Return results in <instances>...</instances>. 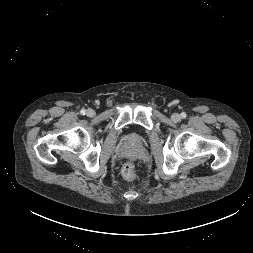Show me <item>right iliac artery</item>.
<instances>
[{
	"mask_svg": "<svg viewBox=\"0 0 253 253\" xmlns=\"http://www.w3.org/2000/svg\"><path fill=\"white\" fill-rule=\"evenodd\" d=\"M80 113H81L82 115H85L86 110H85V109H82V110L80 111Z\"/></svg>",
	"mask_w": 253,
	"mask_h": 253,
	"instance_id": "1",
	"label": "right iliac artery"
}]
</instances>
